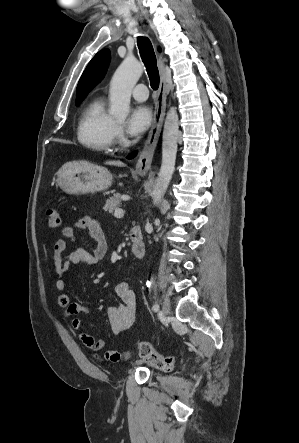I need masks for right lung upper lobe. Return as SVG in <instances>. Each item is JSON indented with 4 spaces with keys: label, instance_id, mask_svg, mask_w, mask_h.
I'll list each match as a JSON object with an SVG mask.
<instances>
[{
    "label": "right lung upper lobe",
    "instance_id": "obj_1",
    "mask_svg": "<svg viewBox=\"0 0 299 443\" xmlns=\"http://www.w3.org/2000/svg\"><path fill=\"white\" fill-rule=\"evenodd\" d=\"M160 50V48H159ZM110 62V51L101 50L89 62L77 86V102H81L104 77Z\"/></svg>",
    "mask_w": 299,
    "mask_h": 443
}]
</instances>
